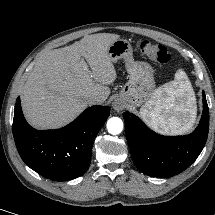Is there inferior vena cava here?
Wrapping results in <instances>:
<instances>
[{
    "label": "inferior vena cava",
    "instance_id": "inferior-vena-cava-1",
    "mask_svg": "<svg viewBox=\"0 0 215 215\" xmlns=\"http://www.w3.org/2000/svg\"><path fill=\"white\" fill-rule=\"evenodd\" d=\"M88 103L90 105H100L103 103V99L98 95H92L88 97Z\"/></svg>",
    "mask_w": 215,
    "mask_h": 215
}]
</instances>
